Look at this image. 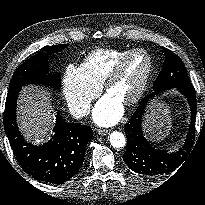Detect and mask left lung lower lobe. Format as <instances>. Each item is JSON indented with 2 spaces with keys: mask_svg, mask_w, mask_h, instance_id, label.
I'll return each mask as SVG.
<instances>
[{
  "mask_svg": "<svg viewBox=\"0 0 205 205\" xmlns=\"http://www.w3.org/2000/svg\"><path fill=\"white\" fill-rule=\"evenodd\" d=\"M188 100L191 109V125L187 140L184 146L179 151L167 153L166 151L157 150L149 145L142 133L141 121L146 104L151 96H146L142 99L131 119L125 124V133L127 136V147L123 155V160L127 166L145 176H158L167 174L173 171L183 162L190 149L195 131L196 117V97L195 89L190 84L188 86H180L176 88Z\"/></svg>",
  "mask_w": 205,
  "mask_h": 205,
  "instance_id": "obj_1",
  "label": "left lung lower lobe"
}]
</instances>
